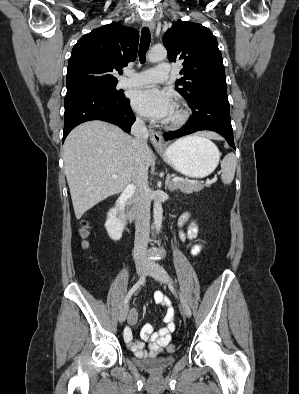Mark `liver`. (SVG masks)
I'll return each instance as SVG.
<instances>
[{
  "label": "liver",
  "instance_id": "1",
  "mask_svg": "<svg viewBox=\"0 0 299 394\" xmlns=\"http://www.w3.org/2000/svg\"><path fill=\"white\" fill-rule=\"evenodd\" d=\"M200 135L218 137L212 132ZM135 159L133 139L115 125L88 121L69 133L63 145L64 172L77 219L97 203L119 194L134 182ZM152 160V151L147 146L144 150L147 167Z\"/></svg>",
  "mask_w": 299,
  "mask_h": 394
}]
</instances>
